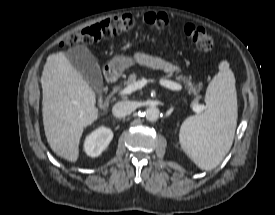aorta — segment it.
<instances>
[{
	"instance_id": "obj_1",
	"label": "aorta",
	"mask_w": 275,
	"mask_h": 215,
	"mask_svg": "<svg viewBox=\"0 0 275 215\" xmlns=\"http://www.w3.org/2000/svg\"><path fill=\"white\" fill-rule=\"evenodd\" d=\"M145 117L149 121H156L160 117V111L156 107H149L145 111Z\"/></svg>"
}]
</instances>
